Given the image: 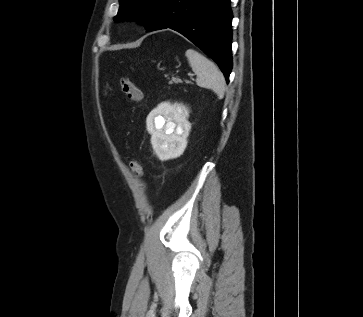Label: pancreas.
<instances>
[{
    "label": "pancreas",
    "mask_w": 363,
    "mask_h": 317,
    "mask_svg": "<svg viewBox=\"0 0 363 317\" xmlns=\"http://www.w3.org/2000/svg\"><path fill=\"white\" fill-rule=\"evenodd\" d=\"M181 82V80L179 78L173 77L172 80L170 81V83H179Z\"/></svg>",
    "instance_id": "1"
}]
</instances>
